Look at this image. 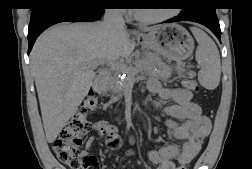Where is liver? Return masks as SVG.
Instances as JSON below:
<instances>
[{
	"mask_svg": "<svg viewBox=\"0 0 252 169\" xmlns=\"http://www.w3.org/2000/svg\"><path fill=\"white\" fill-rule=\"evenodd\" d=\"M133 50L126 29L109 31L103 22L60 23L38 37L30 64L49 143L56 140L87 95L96 76L93 68L129 58Z\"/></svg>",
	"mask_w": 252,
	"mask_h": 169,
	"instance_id": "1",
	"label": "liver"
}]
</instances>
